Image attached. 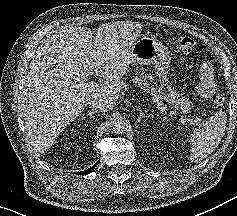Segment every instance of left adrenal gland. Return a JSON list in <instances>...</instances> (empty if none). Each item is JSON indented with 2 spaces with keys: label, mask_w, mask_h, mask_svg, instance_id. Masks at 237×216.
I'll return each instance as SVG.
<instances>
[{
  "label": "left adrenal gland",
  "mask_w": 237,
  "mask_h": 216,
  "mask_svg": "<svg viewBox=\"0 0 237 216\" xmlns=\"http://www.w3.org/2000/svg\"><path fill=\"white\" fill-rule=\"evenodd\" d=\"M139 114L137 115V120L136 122H141L142 119L146 118V116L143 114V112L141 110H138Z\"/></svg>",
  "instance_id": "left-adrenal-gland-1"
}]
</instances>
